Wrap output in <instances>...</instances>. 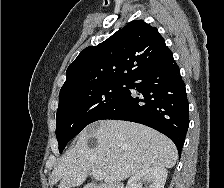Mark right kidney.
Masks as SVG:
<instances>
[{
    "label": "right kidney",
    "mask_w": 224,
    "mask_h": 188,
    "mask_svg": "<svg viewBox=\"0 0 224 188\" xmlns=\"http://www.w3.org/2000/svg\"><path fill=\"white\" fill-rule=\"evenodd\" d=\"M168 172L163 166H152L136 172L128 181L126 188H142L141 182L151 183L149 188H164Z\"/></svg>",
    "instance_id": "right-kidney-1"
}]
</instances>
